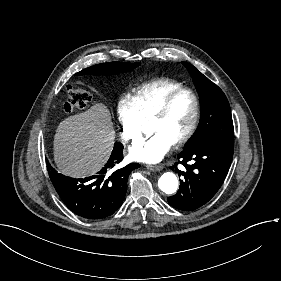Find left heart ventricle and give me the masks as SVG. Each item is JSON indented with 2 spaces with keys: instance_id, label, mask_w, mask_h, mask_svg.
<instances>
[{
  "instance_id": "left-heart-ventricle-1",
  "label": "left heart ventricle",
  "mask_w": 281,
  "mask_h": 281,
  "mask_svg": "<svg viewBox=\"0 0 281 281\" xmlns=\"http://www.w3.org/2000/svg\"><path fill=\"white\" fill-rule=\"evenodd\" d=\"M193 115V101L189 95L178 97L163 117L146 123L147 134L161 133L172 143L188 129Z\"/></svg>"
}]
</instances>
